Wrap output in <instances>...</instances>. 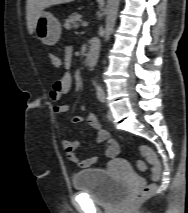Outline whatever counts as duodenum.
I'll use <instances>...</instances> for the list:
<instances>
[{
    "mask_svg": "<svg viewBox=\"0 0 188 213\" xmlns=\"http://www.w3.org/2000/svg\"><path fill=\"white\" fill-rule=\"evenodd\" d=\"M100 51V45L96 40H90L89 52L87 54L85 64L88 68L95 66Z\"/></svg>",
    "mask_w": 188,
    "mask_h": 213,
    "instance_id": "410a0bca",
    "label": "duodenum"
}]
</instances>
